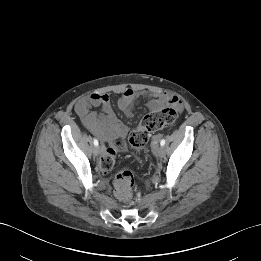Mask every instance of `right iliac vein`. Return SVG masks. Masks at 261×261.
<instances>
[{
  "label": "right iliac vein",
  "mask_w": 261,
  "mask_h": 261,
  "mask_svg": "<svg viewBox=\"0 0 261 261\" xmlns=\"http://www.w3.org/2000/svg\"><path fill=\"white\" fill-rule=\"evenodd\" d=\"M99 153H100V147L95 146L94 149H93V154H94L95 156H97V155H99Z\"/></svg>",
  "instance_id": "63e3f726"
}]
</instances>
